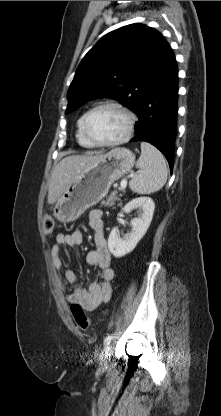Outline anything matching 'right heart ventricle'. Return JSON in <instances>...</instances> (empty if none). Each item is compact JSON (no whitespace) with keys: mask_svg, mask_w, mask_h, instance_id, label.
<instances>
[{"mask_svg":"<svg viewBox=\"0 0 221 416\" xmlns=\"http://www.w3.org/2000/svg\"><path fill=\"white\" fill-rule=\"evenodd\" d=\"M83 116H81L77 122V131H76V139L77 142L87 148L94 147V145L83 135L81 124H82Z\"/></svg>","mask_w":221,"mask_h":416,"instance_id":"e07e8e85","label":"right heart ventricle"}]
</instances>
